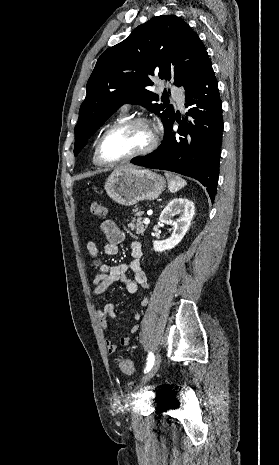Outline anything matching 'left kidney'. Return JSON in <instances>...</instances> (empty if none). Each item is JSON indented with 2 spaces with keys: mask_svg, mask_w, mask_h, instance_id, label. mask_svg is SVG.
Wrapping results in <instances>:
<instances>
[{
  "mask_svg": "<svg viewBox=\"0 0 279 465\" xmlns=\"http://www.w3.org/2000/svg\"><path fill=\"white\" fill-rule=\"evenodd\" d=\"M194 214L195 205L192 201L186 198H174L171 200L161 212L159 221L173 226V233L166 240L153 241L155 252L171 250L177 246L188 231ZM175 215H179V218L176 220L173 219Z\"/></svg>",
  "mask_w": 279,
  "mask_h": 465,
  "instance_id": "1",
  "label": "left kidney"
}]
</instances>
